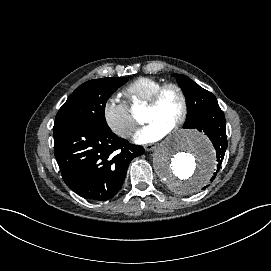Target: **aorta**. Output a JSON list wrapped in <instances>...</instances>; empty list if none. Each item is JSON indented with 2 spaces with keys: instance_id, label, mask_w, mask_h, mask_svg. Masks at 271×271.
I'll return each instance as SVG.
<instances>
[{
  "instance_id": "aorta-1",
  "label": "aorta",
  "mask_w": 271,
  "mask_h": 271,
  "mask_svg": "<svg viewBox=\"0 0 271 271\" xmlns=\"http://www.w3.org/2000/svg\"><path fill=\"white\" fill-rule=\"evenodd\" d=\"M153 166L171 191L188 195L206 185L216 169V156L202 133L181 130L155 148Z\"/></svg>"
}]
</instances>
